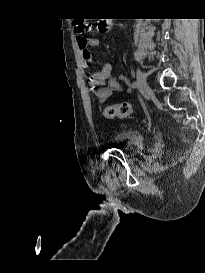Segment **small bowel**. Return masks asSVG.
I'll return each mask as SVG.
<instances>
[{"mask_svg":"<svg viewBox=\"0 0 205 273\" xmlns=\"http://www.w3.org/2000/svg\"><path fill=\"white\" fill-rule=\"evenodd\" d=\"M100 29V25H99ZM99 44L97 38L78 36L77 45L81 52V57L84 63L90 64L92 62L91 47ZM113 67L108 62H99V68L90 73L88 81L92 92L100 103L107 101L113 93L121 90L120 83L112 76Z\"/></svg>","mask_w":205,"mask_h":273,"instance_id":"1","label":"small bowel"}]
</instances>
